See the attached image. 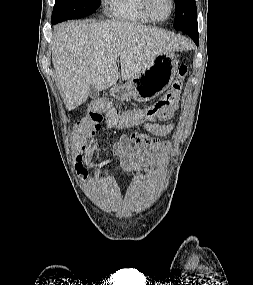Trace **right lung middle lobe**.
Here are the masks:
<instances>
[{
  "label": "right lung middle lobe",
  "mask_w": 253,
  "mask_h": 285,
  "mask_svg": "<svg viewBox=\"0 0 253 285\" xmlns=\"http://www.w3.org/2000/svg\"><path fill=\"white\" fill-rule=\"evenodd\" d=\"M101 0H55L52 20L62 22L77 19L93 13Z\"/></svg>",
  "instance_id": "obj_1"
}]
</instances>
